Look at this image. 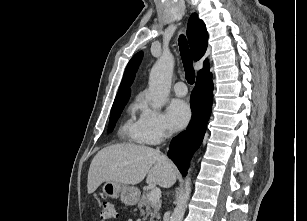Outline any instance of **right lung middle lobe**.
<instances>
[{
    "instance_id": "right-lung-middle-lobe-1",
    "label": "right lung middle lobe",
    "mask_w": 307,
    "mask_h": 221,
    "mask_svg": "<svg viewBox=\"0 0 307 221\" xmlns=\"http://www.w3.org/2000/svg\"><path fill=\"white\" fill-rule=\"evenodd\" d=\"M126 103L127 100L116 102L113 104L109 120V131H111L114 128V125L117 119L119 118Z\"/></svg>"
}]
</instances>
